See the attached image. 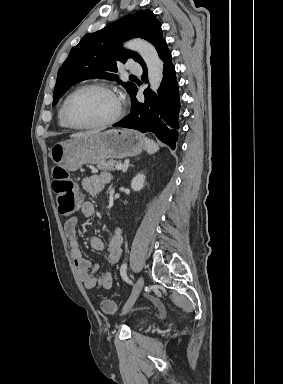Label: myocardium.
Masks as SVG:
<instances>
[{
  "label": "myocardium",
  "instance_id": "1",
  "mask_svg": "<svg viewBox=\"0 0 283 384\" xmlns=\"http://www.w3.org/2000/svg\"><path fill=\"white\" fill-rule=\"evenodd\" d=\"M86 90H100V91H104L107 94H109L114 100L115 111H114V114L105 121L98 122V123L91 124V125H87V126H75L68 119V114H67L68 106H69L71 99L75 95H77L78 93H80L82 91H86ZM121 115H122V104H121V101L119 99V96L117 95V93L113 89V87H111L108 84H104V83H90V84H85V85L78 87L77 89H75L73 92H71L65 98L64 103H63V107H62V121H63L64 125L68 129L77 130V131L95 130V129H102V128L109 127V126L115 124L120 119Z\"/></svg>",
  "mask_w": 283,
  "mask_h": 384
}]
</instances>
